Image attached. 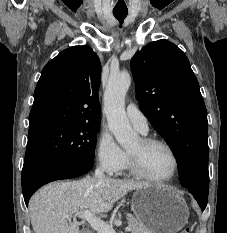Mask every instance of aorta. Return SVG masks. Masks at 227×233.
Instances as JSON below:
<instances>
[{"label": "aorta", "instance_id": "obj_1", "mask_svg": "<svg viewBox=\"0 0 227 233\" xmlns=\"http://www.w3.org/2000/svg\"><path fill=\"white\" fill-rule=\"evenodd\" d=\"M131 84L128 72L111 74L104 94V112L108 127L117 142L124 148L137 138L125 112V96Z\"/></svg>", "mask_w": 227, "mask_h": 233}]
</instances>
